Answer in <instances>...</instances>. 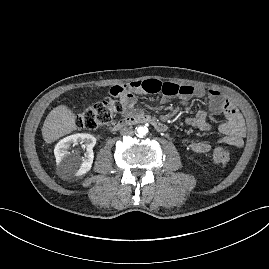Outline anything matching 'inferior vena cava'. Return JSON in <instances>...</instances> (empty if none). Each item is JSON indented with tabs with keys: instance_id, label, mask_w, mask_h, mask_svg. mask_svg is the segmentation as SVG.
<instances>
[{
	"instance_id": "inferior-vena-cava-1",
	"label": "inferior vena cava",
	"mask_w": 269,
	"mask_h": 269,
	"mask_svg": "<svg viewBox=\"0 0 269 269\" xmlns=\"http://www.w3.org/2000/svg\"><path fill=\"white\" fill-rule=\"evenodd\" d=\"M120 133L121 135H133L134 131L132 127H123Z\"/></svg>"
}]
</instances>
